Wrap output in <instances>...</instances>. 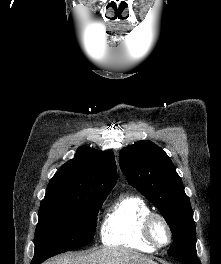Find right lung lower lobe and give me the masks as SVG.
Wrapping results in <instances>:
<instances>
[{
    "instance_id": "98d812e1",
    "label": "right lung lower lobe",
    "mask_w": 221,
    "mask_h": 264,
    "mask_svg": "<svg viewBox=\"0 0 221 264\" xmlns=\"http://www.w3.org/2000/svg\"><path fill=\"white\" fill-rule=\"evenodd\" d=\"M44 260H33L31 262V264H40L41 262H43Z\"/></svg>"
}]
</instances>
